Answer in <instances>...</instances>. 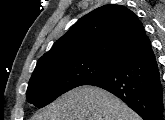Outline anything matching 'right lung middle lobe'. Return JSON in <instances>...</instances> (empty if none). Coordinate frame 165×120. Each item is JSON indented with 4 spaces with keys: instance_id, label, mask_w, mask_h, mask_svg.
<instances>
[{
    "instance_id": "dd1d6c3e",
    "label": "right lung middle lobe",
    "mask_w": 165,
    "mask_h": 120,
    "mask_svg": "<svg viewBox=\"0 0 165 120\" xmlns=\"http://www.w3.org/2000/svg\"><path fill=\"white\" fill-rule=\"evenodd\" d=\"M118 64L88 58H70L36 65L26 92L29 103L38 108L63 93L109 73Z\"/></svg>"
}]
</instances>
